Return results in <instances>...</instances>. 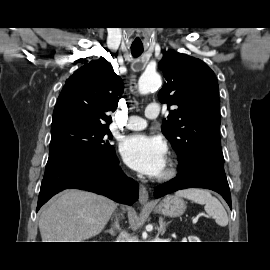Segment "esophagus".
<instances>
[{"mask_svg":"<svg viewBox=\"0 0 270 270\" xmlns=\"http://www.w3.org/2000/svg\"><path fill=\"white\" fill-rule=\"evenodd\" d=\"M139 202L141 205L148 206L149 202V194L144 185H140L139 187Z\"/></svg>","mask_w":270,"mask_h":270,"instance_id":"obj_1","label":"esophagus"}]
</instances>
